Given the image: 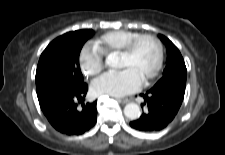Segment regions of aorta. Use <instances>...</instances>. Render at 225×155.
Instances as JSON below:
<instances>
[{
    "instance_id": "aorta-1",
    "label": "aorta",
    "mask_w": 225,
    "mask_h": 155,
    "mask_svg": "<svg viewBox=\"0 0 225 155\" xmlns=\"http://www.w3.org/2000/svg\"><path fill=\"white\" fill-rule=\"evenodd\" d=\"M105 63L108 67L117 68L119 66V57L115 54H109ZM124 115L130 120H136L140 117V107L135 103H129L124 107Z\"/></svg>"
}]
</instances>
